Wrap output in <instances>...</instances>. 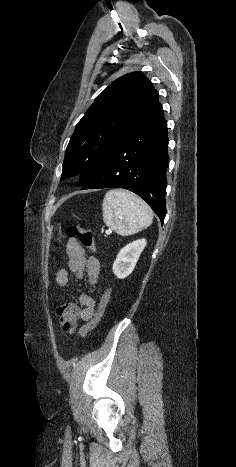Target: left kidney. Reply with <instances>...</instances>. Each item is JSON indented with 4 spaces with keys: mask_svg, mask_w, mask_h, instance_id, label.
Listing matches in <instances>:
<instances>
[{
    "mask_svg": "<svg viewBox=\"0 0 236 467\" xmlns=\"http://www.w3.org/2000/svg\"><path fill=\"white\" fill-rule=\"evenodd\" d=\"M146 243L145 239H139L127 244L119 251L113 263V273L117 278L124 279L132 273Z\"/></svg>",
    "mask_w": 236,
    "mask_h": 467,
    "instance_id": "obj_1",
    "label": "left kidney"
}]
</instances>
